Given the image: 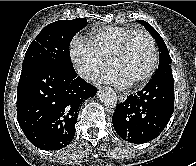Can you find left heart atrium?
Returning <instances> with one entry per match:
<instances>
[{"label": "left heart atrium", "instance_id": "1", "mask_svg": "<svg viewBox=\"0 0 196 166\" xmlns=\"http://www.w3.org/2000/svg\"><path fill=\"white\" fill-rule=\"evenodd\" d=\"M95 79L98 82L111 83L120 88L130 85V83L125 78H123L114 68L99 73Z\"/></svg>", "mask_w": 196, "mask_h": 166}]
</instances>
